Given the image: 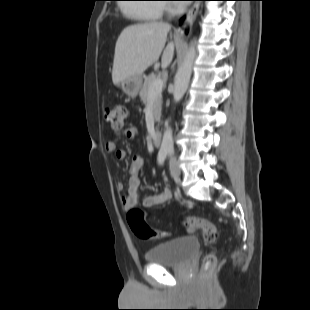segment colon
Wrapping results in <instances>:
<instances>
[{
  "label": "colon",
  "mask_w": 310,
  "mask_h": 310,
  "mask_svg": "<svg viewBox=\"0 0 310 310\" xmlns=\"http://www.w3.org/2000/svg\"><path fill=\"white\" fill-rule=\"evenodd\" d=\"M126 115V107L122 104L106 107L104 118L115 130H120ZM127 221L132 232L141 239H161L169 235L166 231L150 228L144 218V213L138 208H131L127 213ZM184 224L190 229H199L202 231L203 239L206 243H214L218 238V231L215 225L205 218L186 217ZM216 257L213 254H207L203 260V273L209 274L215 267Z\"/></svg>",
  "instance_id": "1"
}]
</instances>
